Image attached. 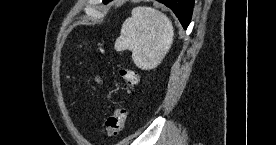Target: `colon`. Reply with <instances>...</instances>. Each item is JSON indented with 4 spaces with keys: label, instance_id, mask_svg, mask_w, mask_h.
<instances>
[{
    "label": "colon",
    "instance_id": "5ec220e1",
    "mask_svg": "<svg viewBox=\"0 0 276 145\" xmlns=\"http://www.w3.org/2000/svg\"><path fill=\"white\" fill-rule=\"evenodd\" d=\"M120 77L128 89L139 81V74L131 68H121ZM127 118V110L124 106H117L106 118L103 133L106 137H116L122 131Z\"/></svg>",
    "mask_w": 276,
    "mask_h": 145
}]
</instances>
